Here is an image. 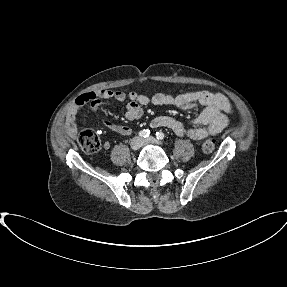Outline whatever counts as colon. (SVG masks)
I'll return each mask as SVG.
<instances>
[{"mask_svg":"<svg viewBox=\"0 0 287 287\" xmlns=\"http://www.w3.org/2000/svg\"><path fill=\"white\" fill-rule=\"evenodd\" d=\"M78 143L80 147L88 153L97 152L100 149L101 141L97 133L91 130L83 131L78 136ZM203 151L206 153H211L215 148V140L207 139L203 143Z\"/></svg>","mask_w":287,"mask_h":287,"instance_id":"obj_1","label":"colon"}]
</instances>
